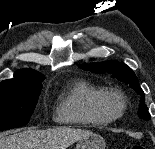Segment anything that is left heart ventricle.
Listing matches in <instances>:
<instances>
[{"label": "left heart ventricle", "instance_id": "obj_1", "mask_svg": "<svg viewBox=\"0 0 155 149\" xmlns=\"http://www.w3.org/2000/svg\"><path fill=\"white\" fill-rule=\"evenodd\" d=\"M110 108H111L112 111L117 112L119 110V104H118V102L117 101H112L110 103Z\"/></svg>", "mask_w": 155, "mask_h": 149}]
</instances>
